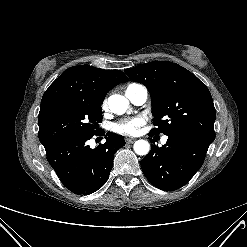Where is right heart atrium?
I'll return each mask as SVG.
<instances>
[{
  "label": "right heart atrium",
  "mask_w": 247,
  "mask_h": 247,
  "mask_svg": "<svg viewBox=\"0 0 247 247\" xmlns=\"http://www.w3.org/2000/svg\"><path fill=\"white\" fill-rule=\"evenodd\" d=\"M102 109H105L107 107V100L104 99L101 104Z\"/></svg>",
  "instance_id": "right-heart-atrium-1"
}]
</instances>
